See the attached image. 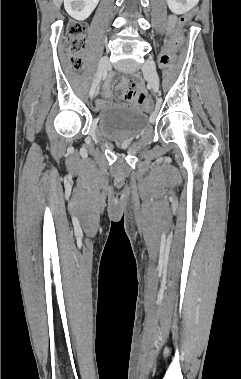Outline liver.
<instances>
[{
  "label": "liver",
  "mask_w": 241,
  "mask_h": 379,
  "mask_svg": "<svg viewBox=\"0 0 241 379\" xmlns=\"http://www.w3.org/2000/svg\"><path fill=\"white\" fill-rule=\"evenodd\" d=\"M54 3L57 5V6H60V4L62 3V0H53Z\"/></svg>",
  "instance_id": "liver-1"
}]
</instances>
